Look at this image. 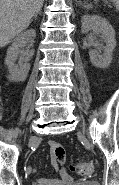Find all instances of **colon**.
Masks as SVG:
<instances>
[{"label":"colon","mask_w":119,"mask_h":185,"mask_svg":"<svg viewBox=\"0 0 119 185\" xmlns=\"http://www.w3.org/2000/svg\"><path fill=\"white\" fill-rule=\"evenodd\" d=\"M69 168L72 171H76L82 177H87L93 172V165L90 162L71 164Z\"/></svg>","instance_id":"5ec220e1"}]
</instances>
